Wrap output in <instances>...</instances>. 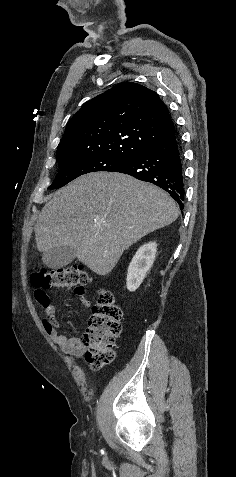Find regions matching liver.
Here are the masks:
<instances>
[{
  "label": "liver",
  "instance_id": "obj_1",
  "mask_svg": "<svg viewBox=\"0 0 236 477\" xmlns=\"http://www.w3.org/2000/svg\"><path fill=\"white\" fill-rule=\"evenodd\" d=\"M179 215L163 190L122 173L83 175L55 192L35 224L39 251L70 246L98 275H107L123 252Z\"/></svg>",
  "mask_w": 236,
  "mask_h": 477
}]
</instances>
